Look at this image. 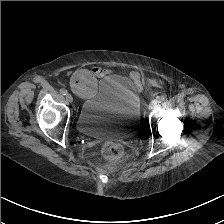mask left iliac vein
I'll return each mask as SVG.
<instances>
[{
  "instance_id": "1",
  "label": "left iliac vein",
  "mask_w": 224,
  "mask_h": 224,
  "mask_svg": "<svg viewBox=\"0 0 224 224\" xmlns=\"http://www.w3.org/2000/svg\"><path fill=\"white\" fill-rule=\"evenodd\" d=\"M157 103L158 102L156 100L151 101L148 107L149 110H153L156 107Z\"/></svg>"
}]
</instances>
